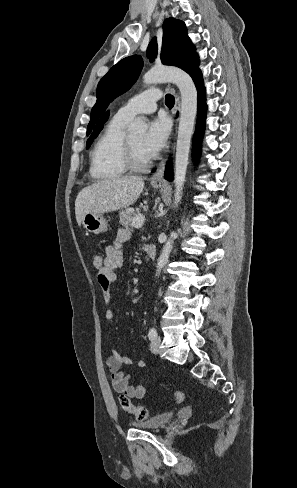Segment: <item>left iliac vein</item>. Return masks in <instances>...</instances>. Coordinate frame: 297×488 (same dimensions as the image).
Returning <instances> with one entry per match:
<instances>
[{"label":"left iliac vein","instance_id":"left-iliac-vein-1","mask_svg":"<svg viewBox=\"0 0 297 488\" xmlns=\"http://www.w3.org/2000/svg\"><path fill=\"white\" fill-rule=\"evenodd\" d=\"M161 344V337L160 336H156L151 344H150V350L152 353L154 354H157L158 353V350H159V346Z\"/></svg>","mask_w":297,"mask_h":488}]
</instances>
